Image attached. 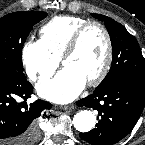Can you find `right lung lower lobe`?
<instances>
[{
	"mask_svg": "<svg viewBox=\"0 0 145 145\" xmlns=\"http://www.w3.org/2000/svg\"><path fill=\"white\" fill-rule=\"evenodd\" d=\"M32 93L23 71H0V145H35L38 117L52 106L43 100L27 104Z\"/></svg>",
	"mask_w": 145,
	"mask_h": 145,
	"instance_id": "obj_1",
	"label": "right lung lower lobe"
}]
</instances>
